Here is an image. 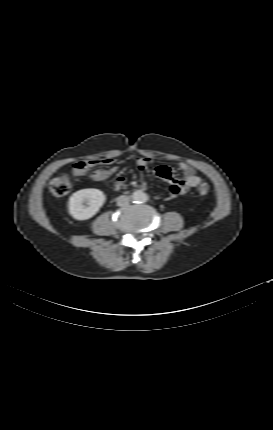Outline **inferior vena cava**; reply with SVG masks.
<instances>
[{"mask_svg": "<svg viewBox=\"0 0 273 430\" xmlns=\"http://www.w3.org/2000/svg\"><path fill=\"white\" fill-rule=\"evenodd\" d=\"M130 202V198L125 196V195H121L117 198V205L124 207V206H128Z\"/></svg>", "mask_w": 273, "mask_h": 430, "instance_id": "1", "label": "inferior vena cava"}]
</instances>
